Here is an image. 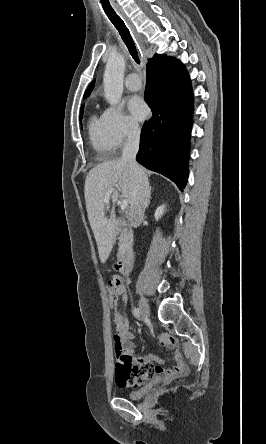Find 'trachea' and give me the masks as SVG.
<instances>
[{
    "label": "trachea",
    "mask_w": 266,
    "mask_h": 444,
    "mask_svg": "<svg viewBox=\"0 0 266 444\" xmlns=\"http://www.w3.org/2000/svg\"><path fill=\"white\" fill-rule=\"evenodd\" d=\"M102 7L105 11V14L111 21V23L114 25V27L118 30L123 42L125 43L126 47L128 48V51L134 61L139 65L140 59H139V51L138 48L129 32V29L125 25L124 21L116 14L114 9L110 6L109 2L102 3Z\"/></svg>",
    "instance_id": "trachea-1"
}]
</instances>
